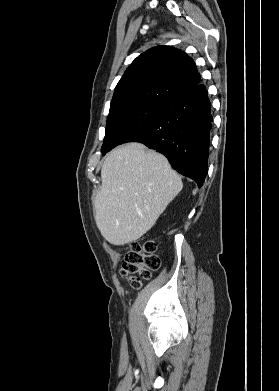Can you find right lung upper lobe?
<instances>
[{
	"label": "right lung upper lobe",
	"mask_w": 279,
	"mask_h": 391,
	"mask_svg": "<svg viewBox=\"0 0 279 391\" xmlns=\"http://www.w3.org/2000/svg\"><path fill=\"white\" fill-rule=\"evenodd\" d=\"M194 61L171 46H157L138 56L118 82L110 112L138 104L164 105L200 83Z\"/></svg>",
	"instance_id": "right-lung-upper-lobe-1"
}]
</instances>
